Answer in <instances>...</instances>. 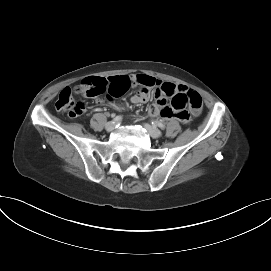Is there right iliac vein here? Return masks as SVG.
<instances>
[{
	"label": "right iliac vein",
	"mask_w": 271,
	"mask_h": 271,
	"mask_svg": "<svg viewBox=\"0 0 271 271\" xmlns=\"http://www.w3.org/2000/svg\"><path fill=\"white\" fill-rule=\"evenodd\" d=\"M115 128V123L114 122H108L105 126V129L108 131V132H111L113 131Z\"/></svg>",
	"instance_id": "right-iliac-vein-1"
}]
</instances>
